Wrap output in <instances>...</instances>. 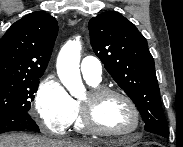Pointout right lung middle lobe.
I'll return each instance as SVG.
<instances>
[{
  "instance_id": "1",
  "label": "right lung middle lobe",
  "mask_w": 183,
  "mask_h": 147,
  "mask_svg": "<svg viewBox=\"0 0 183 147\" xmlns=\"http://www.w3.org/2000/svg\"><path fill=\"white\" fill-rule=\"evenodd\" d=\"M39 79L40 77L0 82V115L29 111Z\"/></svg>"
}]
</instances>
